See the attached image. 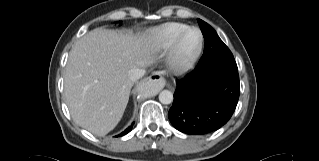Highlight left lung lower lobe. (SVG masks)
<instances>
[{"label": "left lung lower lobe", "mask_w": 319, "mask_h": 161, "mask_svg": "<svg viewBox=\"0 0 319 161\" xmlns=\"http://www.w3.org/2000/svg\"><path fill=\"white\" fill-rule=\"evenodd\" d=\"M176 84L168 117L183 133L202 135L216 131L235 111L240 94L238 68L196 67Z\"/></svg>", "instance_id": "0a47b994"}]
</instances>
